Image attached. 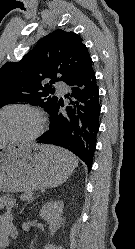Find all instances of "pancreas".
<instances>
[{
    "label": "pancreas",
    "instance_id": "1",
    "mask_svg": "<svg viewBox=\"0 0 135 249\" xmlns=\"http://www.w3.org/2000/svg\"><path fill=\"white\" fill-rule=\"evenodd\" d=\"M32 198V192L31 191H25L21 196L20 199L22 200H30Z\"/></svg>",
    "mask_w": 135,
    "mask_h": 249
}]
</instances>
